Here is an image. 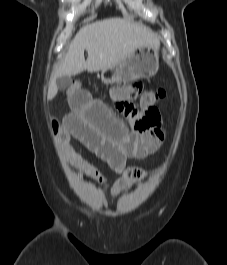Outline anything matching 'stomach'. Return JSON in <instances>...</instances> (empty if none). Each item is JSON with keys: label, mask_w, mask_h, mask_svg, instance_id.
I'll return each mask as SVG.
<instances>
[{"label": "stomach", "mask_w": 227, "mask_h": 265, "mask_svg": "<svg viewBox=\"0 0 227 265\" xmlns=\"http://www.w3.org/2000/svg\"><path fill=\"white\" fill-rule=\"evenodd\" d=\"M159 69V45L136 48L121 63L101 71L105 84H118L149 78Z\"/></svg>", "instance_id": "obj_1"}]
</instances>
